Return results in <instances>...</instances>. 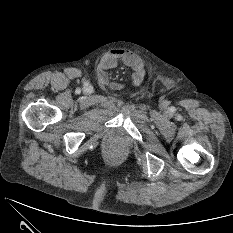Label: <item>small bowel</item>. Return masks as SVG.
Returning a JSON list of instances; mask_svg holds the SVG:
<instances>
[{"label": "small bowel", "mask_w": 233, "mask_h": 233, "mask_svg": "<svg viewBox=\"0 0 233 233\" xmlns=\"http://www.w3.org/2000/svg\"><path fill=\"white\" fill-rule=\"evenodd\" d=\"M118 61H122L133 70L131 83L133 86H139L145 78L144 65L137 55L127 49H114L108 52L99 63V72L104 74L108 70L115 68ZM111 87L115 90H120L123 88V85L111 83Z\"/></svg>", "instance_id": "c3829d8e"}]
</instances>
